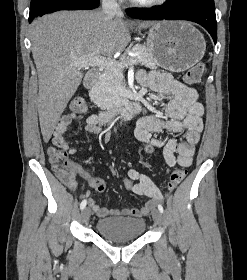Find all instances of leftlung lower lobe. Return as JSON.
Listing matches in <instances>:
<instances>
[{
  "label": "left lung lower lobe",
  "mask_w": 247,
  "mask_h": 280,
  "mask_svg": "<svg viewBox=\"0 0 247 280\" xmlns=\"http://www.w3.org/2000/svg\"><path fill=\"white\" fill-rule=\"evenodd\" d=\"M127 15L137 19L188 20L203 26L217 41V22L214 0H188L177 4L167 2L152 10H127Z\"/></svg>",
  "instance_id": "1"
}]
</instances>
